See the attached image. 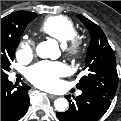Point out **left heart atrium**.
<instances>
[{"label": "left heart atrium", "instance_id": "39dd6f15", "mask_svg": "<svg viewBox=\"0 0 121 121\" xmlns=\"http://www.w3.org/2000/svg\"><path fill=\"white\" fill-rule=\"evenodd\" d=\"M66 72V67L60 62H40L27 71V78L37 87L53 89L59 83V78Z\"/></svg>", "mask_w": 121, "mask_h": 121}]
</instances>
